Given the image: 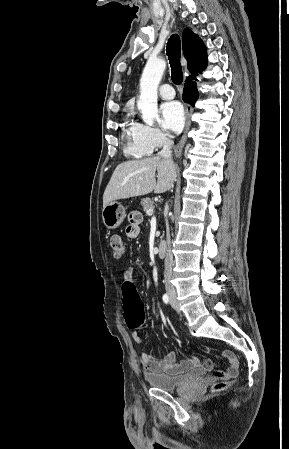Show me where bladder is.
Masks as SVG:
<instances>
[{
	"instance_id": "bladder-1",
	"label": "bladder",
	"mask_w": 289,
	"mask_h": 449,
	"mask_svg": "<svg viewBox=\"0 0 289 449\" xmlns=\"http://www.w3.org/2000/svg\"><path fill=\"white\" fill-rule=\"evenodd\" d=\"M205 376V371L202 369H196L189 371L182 375H149L147 377L148 383L158 389L173 392L184 386L192 384L201 380Z\"/></svg>"
}]
</instances>
